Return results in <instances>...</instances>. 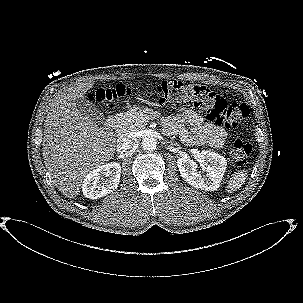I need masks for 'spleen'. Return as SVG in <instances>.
Segmentation results:
<instances>
[{
    "label": "spleen",
    "mask_w": 303,
    "mask_h": 303,
    "mask_svg": "<svg viewBox=\"0 0 303 303\" xmlns=\"http://www.w3.org/2000/svg\"><path fill=\"white\" fill-rule=\"evenodd\" d=\"M246 178H247L246 170L235 172L230 178V180L228 181L226 192L231 193L239 189L245 183Z\"/></svg>",
    "instance_id": "spleen-1"
}]
</instances>
